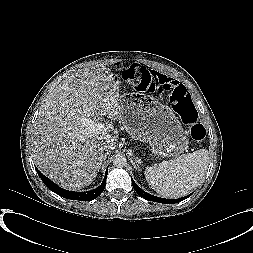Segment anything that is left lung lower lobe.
I'll return each mask as SVG.
<instances>
[{
  "mask_svg": "<svg viewBox=\"0 0 253 253\" xmlns=\"http://www.w3.org/2000/svg\"><path fill=\"white\" fill-rule=\"evenodd\" d=\"M132 185L134 190L144 199L149 200V201H154V202H159V203H166V204H174V203H178L186 198H188L190 195L183 197V198H179V199H164V198H159L156 196H153L151 194L146 193L145 191H143L140 187H138L136 185V183L134 182V180L132 179Z\"/></svg>",
  "mask_w": 253,
  "mask_h": 253,
  "instance_id": "obj_1",
  "label": "left lung lower lobe"
}]
</instances>
